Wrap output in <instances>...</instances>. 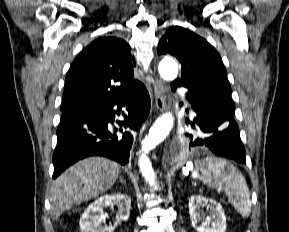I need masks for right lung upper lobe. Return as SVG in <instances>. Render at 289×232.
Here are the masks:
<instances>
[{
    "mask_svg": "<svg viewBox=\"0 0 289 232\" xmlns=\"http://www.w3.org/2000/svg\"><path fill=\"white\" fill-rule=\"evenodd\" d=\"M130 46L120 38L101 37L73 61L65 81L62 112L108 104L132 94L141 83L133 79Z\"/></svg>",
    "mask_w": 289,
    "mask_h": 232,
    "instance_id": "right-lung-upper-lobe-1",
    "label": "right lung upper lobe"
}]
</instances>
